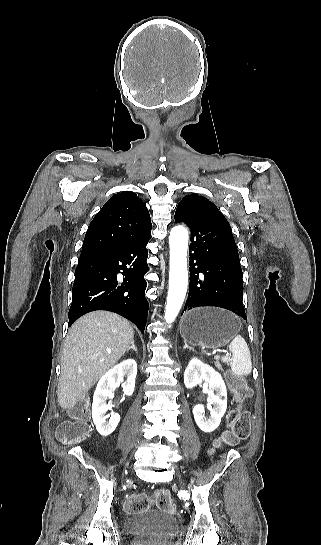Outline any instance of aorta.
<instances>
[{"label":"aorta","mask_w":321,"mask_h":545,"mask_svg":"<svg viewBox=\"0 0 321 545\" xmlns=\"http://www.w3.org/2000/svg\"><path fill=\"white\" fill-rule=\"evenodd\" d=\"M169 249V290L165 320L167 323H172L182 307L188 285V232L184 226L178 225L171 229Z\"/></svg>","instance_id":"762f6f07"}]
</instances>
